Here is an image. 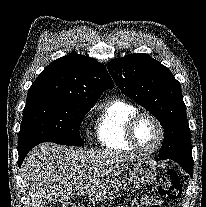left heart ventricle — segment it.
Instances as JSON below:
<instances>
[{
    "label": "left heart ventricle",
    "mask_w": 206,
    "mask_h": 207,
    "mask_svg": "<svg viewBox=\"0 0 206 207\" xmlns=\"http://www.w3.org/2000/svg\"><path fill=\"white\" fill-rule=\"evenodd\" d=\"M159 129L149 118H142L135 128V139L138 146L144 150L153 149L159 140Z\"/></svg>",
    "instance_id": "obj_1"
}]
</instances>
